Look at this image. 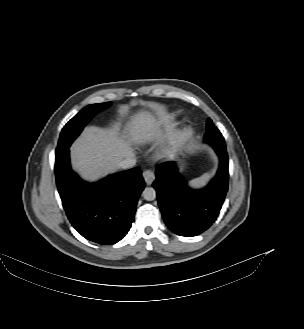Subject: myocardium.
Instances as JSON below:
<instances>
[{"label":"myocardium","mask_w":304,"mask_h":329,"mask_svg":"<svg viewBox=\"0 0 304 329\" xmlns=\"http://www.w3.org/2000/svg\"><path fill=\"white\" fill-rule=\"evenodd\" d=\"M189 135H190V130L185 129L180 134H178L173 141H171L166 146L161 148L160 153L162 155H169L175 153L182 145V143L188 138Z\"/></svg>","instance_id":"f54148a6"}]
</instances>
